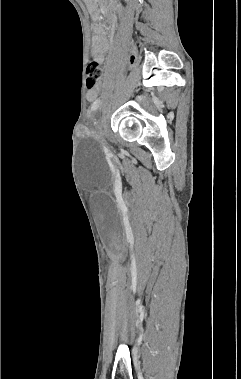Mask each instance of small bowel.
<instances>
[{"instance_id": "obj_1", "label": "small bowel", "mask_w": 241, "mask_h": 379, "mask_svg": "<svg viewBox=\"0 0 241 379\" xmlns=\"http://www.w3.org/2000/svg\"><path fill=\"white\" fill-rule=\"evenodd\" d=\"M111 1L106 3V7H111ZM95 10V8L93 7ZM108 49V42L105 38V31L101 26H96L94 30L93 42H92V54L95 60L103 62L105 60L106 51ZM87 99L89 101H96L97 93L96 89H89L87 91Z\"/></svg>"}]
</instances>
